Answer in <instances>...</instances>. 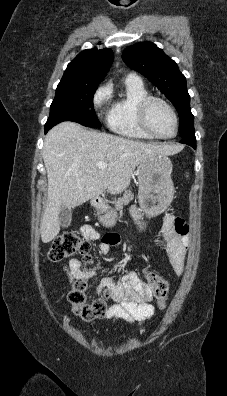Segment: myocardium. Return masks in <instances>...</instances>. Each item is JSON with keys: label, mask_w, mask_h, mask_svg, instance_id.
<instances>
[{"label": "myocardium", "mask_w": 227, "mask_h": 396, "mask_svg": "<svg viewBox=\"0 0 227 396\" xmlns=\"http://www.w3.org/2000/svg\"><path fill=\"white\" fill-rule=\"evenodd\" d=\"M153 102L162 103L163 105H165L167 107V109L172 114V116L174 118V122H175V131L172 135H170V136L160 135L151 127V125L149 123L148 114H149L150 106ZM138 119H139V123L142 126V128L148 134H150L151 136L158 138V139L174 138L179 131V118H178V114H177L175 108L172 106V104L168 100H166L165 98L160 97V96L148 95L147 97H145L144 99L141 100V102L138 105Z\"/></svg>", "instance_id": "1"}]
</instances>
